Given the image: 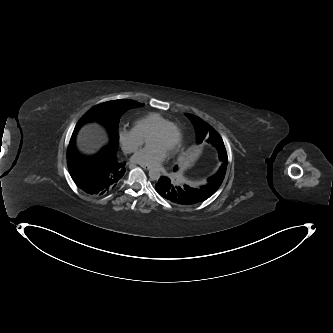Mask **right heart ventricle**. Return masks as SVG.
<instances>
[{
	"label": "right heart ventricle",
	"mask_w": 333,
	"mask_h": 333,
	"mask_svg": "<svg viewBox=\"0 0 333 333\" xmlns=\"http://www.w3.org/2000/svg\"><path fill=\"white\" fill-rule=\"evenodd\" d=\"M170 120L156 112L148 113L134 122V128L143 138H147L152 131Z\"/></svg>",
	"instance_id": "e07e8e85"
}]
</instances>
